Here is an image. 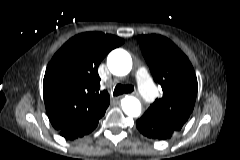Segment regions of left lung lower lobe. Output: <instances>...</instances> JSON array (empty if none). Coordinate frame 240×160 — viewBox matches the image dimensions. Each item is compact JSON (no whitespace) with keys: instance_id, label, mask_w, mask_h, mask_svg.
Masks as SVG:
<instances>
[{"instance_id":"obj_1","label":"left lung lower lobe","mask_w":240,"mask_h":160,"mask_svg":"<svg viewBox=\"0 0 240 160\" xmlns=\"http://www.w3.org/2000/svg\"><path fill=\"white\" fill-rule=\"evenodd\" d=\"M136 124L142 135L153 140H167L177 133V130L160 121L150 109L136 121Z\"/></svg>"}]
</instances>
